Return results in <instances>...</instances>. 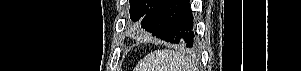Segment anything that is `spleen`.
<instances>
[{
    "instance_id": "3e777b00",
    "label": "spleen",
    "mask_w": 301,
    "mask_h": 71,
    "mask_svg": "<svg viewBox=\"0 0 301 71\" xmlns=\"http://www.w3.org/2000/svg\"><path fill=\"white\" fill-rule=\"evenodd\" d=\"M193 62L174 50H157L145 56L136 71H192Z\"/></svg>"
}]
</instances>
